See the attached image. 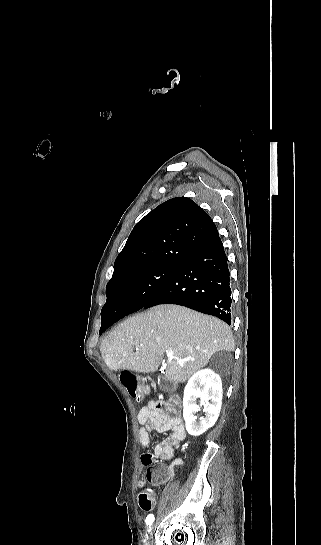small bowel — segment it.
I'll return each instance as SVG.
<instances>
[{
  "label": "small bowel",
  "instance_id": "obj_1",
  "mask_svg": "<svg viewBox=\"0 0 321 545\" xmlns=\"http://www.w3.org/2000/svg\"><path fill=\"white\" fill-rule=\"evenodd\" d=\"M140 424L139 443L143 449H147L150 442V433H169L154 448V456L161 463L154 465L150 454L142 455L141 462L148 468L146 478L137 481L139 488H144L147 482L160 484L174 477L175 467L181 466L183 460L173 459L169 464L164 462L172 459L175 449L186 438V430L181 416L178 413L177 404L174 400L168 402L149 401L142 407L137 415ZM161 476L156 478V474Z\"/></svg>",
  "mask_w": 321,
  "mask_h": 545
}]
</instances>
